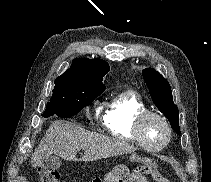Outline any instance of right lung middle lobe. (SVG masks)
<instances>
[{
	"label": "right lung middle lobe",
	"mask_w": 211,
	"mask_h": 182,
	"mask_svg": "<svg viewBox=\"0 0 211 182\" xmlns=\"http://www.w3.org/2000/svg\"><path fill=\"white\" fill-rule=\"evenodd\" d=\"M104 90L57 77L50 102L43 116L71 117L91 104Z\"/></svg>",
	"instance_id": "1"
}]
</instances>
